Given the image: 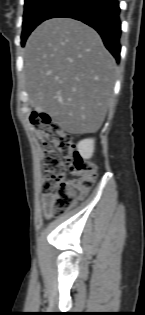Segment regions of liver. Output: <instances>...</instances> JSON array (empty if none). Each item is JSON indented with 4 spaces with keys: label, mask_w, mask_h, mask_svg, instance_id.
<instances>
[{
    "label": "liver",
    "mask_w": 145,
    "mask_h": 315,
    "mask_svg": "<svg viewBox=\"0 0 145 315\" xmlns=\"http://www.w3.org/2000/svg\"><path fill=\"white\" fill-rule=\"evenodd\" d=\"M25 89L36 112L70 134L95 133L113 97L116 62L99 34L69 18L44 21L24 53Z\"/></svg>",
    "instance_id": "obj_1"
}]
</instances>
